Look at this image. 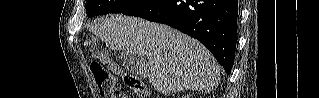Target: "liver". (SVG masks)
<instances>
[{
  "label": "liver",
  "mask_w": 319,
  "mask_h": 98,
  "mask_svg": "<svg viewBox=\"0 0 319 98\" xmlns=\"http://www.w3.org/2000/svg\"><path fill=\"white\" fill-rule=\"evenodd\" d=\"M89 30L110 49L144 61V73L158 92L170 95L192 89L209 93L219 84L220 69L212 54L197 40L169 26L111 15Z\"/></svg>",
  "instance_id": "obj_1"
}]
</instances>
